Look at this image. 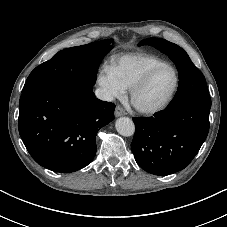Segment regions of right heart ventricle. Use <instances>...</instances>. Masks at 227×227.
I'll return each mask as SVG.
<instances>
[{
  "label": "right heart ventricle",
  "mask_w": 227,
  "mask_h": 227,
  "mask_svg": "<svg viewBox=\"0 0 227 227\" xmlns=\"http://www.w3.org/2000/svg\"><path fill=\"white\" fill-rule=\"evenodd\" d=\"M167 62L153 54L131 53L113 60L112 69L124 89H130L144 74Z\"/></svg>",
  "instance_id": "obj_1"
}]
</instances>
